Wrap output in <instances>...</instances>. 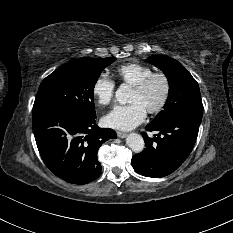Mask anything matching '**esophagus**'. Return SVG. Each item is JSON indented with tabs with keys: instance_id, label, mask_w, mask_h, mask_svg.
I'll return each instance as SVG.
<instances>
[{
	"instance_id": "1",
	"label": "esophagus",
	"mask_w": 233,
	"mask_h": 233,
	"mask_svg": "<svg viewBox=\"0 0 233 233\" xmlns=\"http://www.w3.org/2000/svg\"><path fill=\"white\" fill-rule=\"evenodd\" d=\"M117 136L119 138H125L127 136V133L121 132V131H117Z\"/></svg>"
}]
</instances>
